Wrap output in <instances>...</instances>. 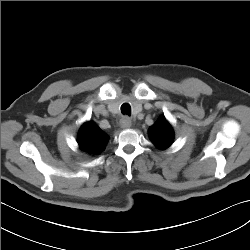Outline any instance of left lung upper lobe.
Instances as JSON below:
<instances>
[{
    "label": "left lung upper lobe",
    "mask_w": 250,
    "mask_h": 250,
    "mask_svg": "<svg viewBox=\"0 0 250 250\" xmlns=\"http://www.w3.org/2000/svg\"><path fill=\"white\" fill-rule=\"evenodd\" d=\"M149 136L159 149H165L172 144L174 132L168 121L162 116L150 127Z\"/></svg>",
    "instance_id": "obj_1"
}]
</instances>
